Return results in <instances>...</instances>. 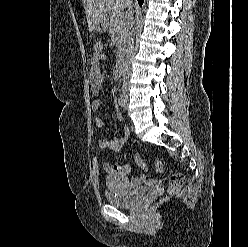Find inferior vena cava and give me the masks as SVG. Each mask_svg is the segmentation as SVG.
Instances as JSON below:
<instances>
[{
  "instance_id": "obj_1",
  "label": "inferior vena cava",
  "mask_w": 248,
  "mask_h": 247,
  "mask_svg": "<svg viewBox=\"0 0 248 247\" xmlns=\"http://www.w3.org/2000/svg\"><path fill=\"white\" fill-rule=\"evenodd\" d=\"M129 4L127 6L126 24H127V50H126V63L127 70H130V62L134 57V39H133V25H134V11L131 8L132 0H128Z\"/></svg>"
}]
</instances>
